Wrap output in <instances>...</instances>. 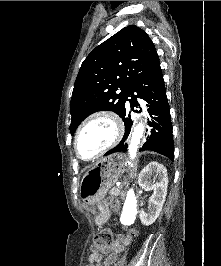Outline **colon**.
Returning a JSON list of instances; mask_svg holds the SVG:
<instances>
[{
    "label": "colon",
    "mask_w": 221,
    "mask_h": 266,
    "mask_svg": "<svg viewBox=\"0 0 221 266\" xmlns=\"http://www.w3.org/2000/svg\"><path fill=\"white\" fill-rule=\"evenodd\" d=\"M108 204L112 208H116L117 202L114 199H109ZM132 235H135V231L131 232ZM112 241V232L109 229H102L97 232L92 241V248L95 253H99L104 250Z\"/></svg>",
    "instance_id": "5ec220e1"
}]
</instances>
